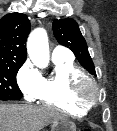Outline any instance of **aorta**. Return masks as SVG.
I'll return each instance as SVG.
<instances>
[{
    "label": "aorta",
    "instance_id": "1",
    "mask_svg": "<svg viewBox=\"0 0 117 131\" xmlns=\"http://www.w3.org/2000/svg\"><path fill=\"white\" fill-rule=\"evenodd\" d=\"M27 52L35 66L45 68L49 64V44L47 32L44 28L34 29L27 40Z\"/></svg>",
    "mask_w": 117,
    "mask_h": 131
}]
</instances>
